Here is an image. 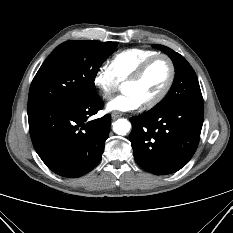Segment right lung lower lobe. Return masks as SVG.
<instances>
[{
    "instance_id": "obj_1",
    "label": "right lung lower lobe",
    "mask_w": 233,
    "mask_h": 233,
    "mask_svg": "<svg viewBox=\"0 0 233 233\" xmlns=\"http://www.w3.org/2000/svg\"><path fill=\"white\" fill-rule=\"evenodd\" d=\"M103 105L95 93L72 104L28 109L34 149L50 170L63 177L75 178L88 173L100 162L111 116L87 119Z\"/></svg>"
}]
</instances>
